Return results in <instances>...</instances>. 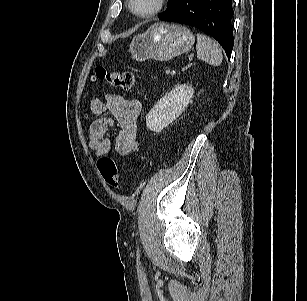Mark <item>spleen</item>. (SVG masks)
Instances as JSON below:
<instances>
[{
  "instance_id": "3e777b00",
  "label": "spleen",
  "mask_w": 307,
  "mask_h": 301,
  "mask_svg": "<svg viewBox=\"0 0 307 301\" xmlns=\"http://www.w3.org/2000/svg\"><path fill=\"white\" fill-rule=\"evenodd\" d=\"M197 57L210 65L219 66L222 62V51L219 45L206 35L197 34Z\"/></svg>"
}]
</instances>
